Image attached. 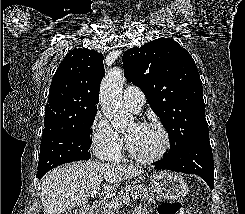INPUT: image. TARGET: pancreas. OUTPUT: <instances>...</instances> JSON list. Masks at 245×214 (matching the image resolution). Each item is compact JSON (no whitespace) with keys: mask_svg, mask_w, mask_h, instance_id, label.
Instances as JSON below:
<instances>
[{"mask_svg":"<svg viewBox=\"0 0 245 214\" xmlns=\"http://www.w3.org/2000/svg\"><path fill=\"white\" fill-rule=\"evenodd\" d=\"M132 198H140L148 203H155L153 191L146 185H127L111 201L104 203L102 214H115L118 212L122 203H128ZM159 201V198H156Z\"/></svg>","mask_w":245,"mask_h":214,"instance_id":"pancreas-1","label":"pancreas"}]
</instances>
